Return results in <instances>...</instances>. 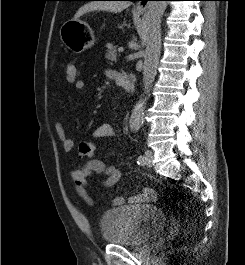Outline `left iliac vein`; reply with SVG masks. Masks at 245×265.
<instances>
[{
	"label": "left iliac vein",
	"mask_w": 245,
	"mask_h": 265,
	"mask_svg": "<svg viewBox=\"0 0 245 265\" xmlns=\"http://www.w3.org/2000/svg\"><path fill=\"white\" fill-rule=\"evenodd\" d=\"M153 153L150 150L145 151V160L144 165L151 167L152 166Z\"/></svg>",
	"instance_id": "left-iliac-vein-1"
}]
</instances>
